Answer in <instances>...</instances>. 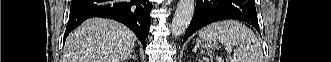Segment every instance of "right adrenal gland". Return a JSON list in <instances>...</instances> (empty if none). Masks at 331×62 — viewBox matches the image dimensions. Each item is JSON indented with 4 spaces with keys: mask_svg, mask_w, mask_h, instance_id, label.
Masks as SVG:
<instances>
[{
    "mask_svg": "<svg viewBox=\"0 0 331 62\" xmlns=\"http://www.w3.org/2000/svg\"><path fill=\"white\" fill-rule=\"evenodd\" d=\"M129 58H133L134 60H137V57H136V55L133 53V54H131L129 57H128V59Z\"/></svg>",
    "mask_w": 331,
    "mask_h": 62,
    "instance_id": "obj_1",
    "label": "right adrenal gland"
}]
</instances>
